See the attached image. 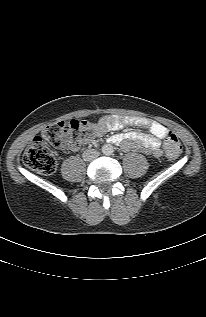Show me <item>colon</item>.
Segmentation results:
<instances>
[{"label":"colon","instance_id":"colon-1","mask_svg":"<svg viewBox=\"0 0 206 317\" xmlns=\"http://www.w3.org/2000/svg\"><path fill=\"white\" fill-rule=\"evenodd\" d=\"M96 134L95 127L84 121H62L48 126L41 136L33 139L23 155L24 164L40 174L50 175L56 171L57 162L50 147L67 149L89 140ZM166 154L174 159L181 151L177 136L169 132L165 139Z\"/></svg>","mask_w":206,"mask_h":317}]
</instances>
